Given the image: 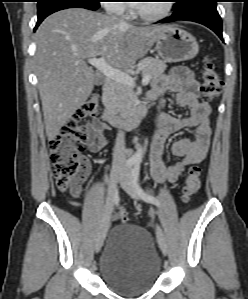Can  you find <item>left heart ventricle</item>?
Wrapping results in <instances>:
<instances>
[{
	"instance_id": "1",
	"label": "left heart ventricle",
	"mask_w": 248,
	"mask_h": 299,
	"mask_svg": "<svg viewBox=\"0 0 248 299\" xmlns=\"http://www.w3.org/2000/svg\"><path fill=\"white\" fill-rule=\"evenodd\" d=\"M163 1H150L139 4V10L146 13H156L162 9Z\"/></svg>"
}]
</instances>
